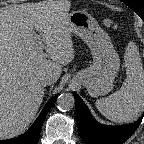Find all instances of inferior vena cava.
<instances>
[{"label":"inferior vena cava","mask_w":144,"mask_h":144,"mask_svg":"<svg viewBox=\"0 0 144 144\" xmlns=\"http://www.w3.org/2000/svg\"><path fill=\"white\" fill-rule=\"evenodd\" d=\"M54 82H55V80L52 77V75H46L41 78L40 84L45 87L47 85L53 84Z\"/></svg>","instance_id":"602c4592"}]
</instances>
